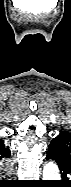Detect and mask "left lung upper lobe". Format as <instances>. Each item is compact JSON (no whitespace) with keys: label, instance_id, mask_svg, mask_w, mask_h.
Instances as JSON below:
<instances>
[{"label":"left lung upper lobe","instance_id":"obj_1","mask_svg":"<svg viewBox=\"0 0 71 187\" xmlns=\"http://www.w3.org/2000/svg\"><path fill=\"white\" fill-rule=\"evenodd\" d=\"M48 150L57 152L67 162L71 163V133L61 131L59 135L52 139Z\"/></svg>","mask_w":71,"mask_h":187}]
</instances>
